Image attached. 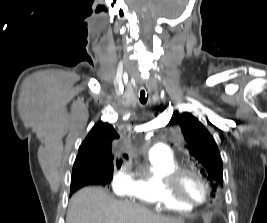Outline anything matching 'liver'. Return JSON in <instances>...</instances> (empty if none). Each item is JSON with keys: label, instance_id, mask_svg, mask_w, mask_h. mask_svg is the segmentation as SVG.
Returning <instances> with one entry per match:
<instances>
[{"label": "liver", "instance_id": "liver-1", "mask_svg": "<svg viewBox=\"0 0 267 223\" xmlns=\"http://www.w3.org/2000/svg\"><path fill=\"white\" fill-rule=\"evenodd\" d=\"M132 202L119 201L100 187L79 190L70 200L66 223H183Z\"/></svg>", "mask_w": 267, "mask_h": 223}]
</instances>
